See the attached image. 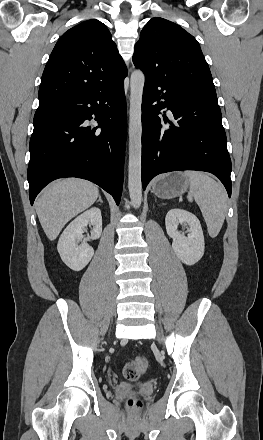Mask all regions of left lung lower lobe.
I'll list each match as a JSON object with an SVG mask.
<instances>
[{"label": "left lung lower lobe", "mask_w": 263, "mask_h": 440, "mask_svg": "<svg viewBox=\"0 0 263 440\" xmlns=\"http://www.w3.org/2000/svg\"><path fill=\"white\" fill-rule=\"evenodd\" d=\"M164 102H160V99ZM157 101V104L153 105ZM168 108L174 122H160ZM142 186L176 170L207 171L216 175L231 196V159L217 97L189 92L173 81L146 77L142 102Z\"/></svg>", "instance_id": "left-lung-lower-lobe-1"}]
</instances>
